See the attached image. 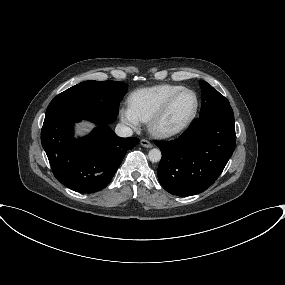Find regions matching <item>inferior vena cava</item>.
Returning a JSON list of instances; mask_svg holds the SVG:
<instances>
[{"mask_svg":"<svg viewBox=\"0 0 285 285\" xmlns=\"http://www.w3.org/2000/svg\"><path fill=\"white\" fill-rule=\"evenodd\" d=\"M115 133L117 136L125 138V137L132 136L133 131L130 127H128L122 123H119V124H117V126L115 128Z\"/></svg>","mask_w":285,"mask_h":285,"instance_id":"602c4592","label":"inferior vena cava"}]
</instances>
